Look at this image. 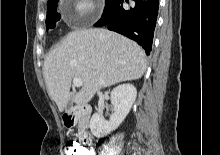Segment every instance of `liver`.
<instances>
[{
	"mask_svg": "<svg viewBox=\"0 0 220 155\" xmlns=\"http://www.w3.org/2000/svg\"><path fill=\"white\" fill-rule=\"evenodd\" d=\"M146 68L145 52L137 43L95 28L68 33L46 56L43 75L49 96L62 112L70 100L85 105L102 88L141 78ZM74 77L83 85L71 96Z\"/></svg>",
	"mask_w": 220,
	"mask_h": 155,
	"instance_id": "1",
	"label": "liver"
}]
</instances>
